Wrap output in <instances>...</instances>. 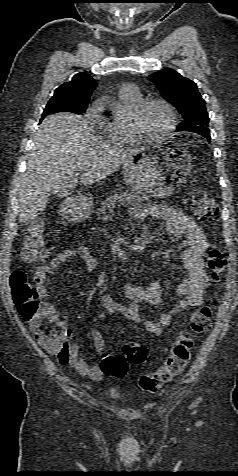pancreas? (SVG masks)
<instances>
[{
	"label": "pancreas",
	"mask_w": 238,
	"mask_h": 476,
	"mask_svg": "<svg viewBox=\"0 0 238 476\" xmlns=\"http://www.w3.org/2000/svg\"><path fill=\"white\" fill-rule=\"evenodd\" d=\"M144 198L137 193L120 192L114 193L101 202L100 207L96 211L98 218L105 216L107 213H114L116 206L130 205L134 202H141Z\"/></svg>",
	"instance_id": "1"
}]
</instances>
